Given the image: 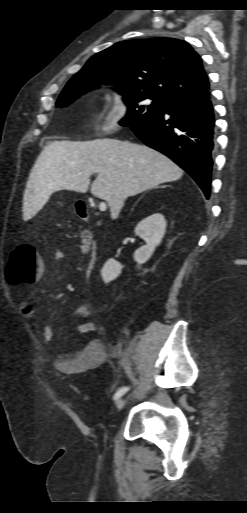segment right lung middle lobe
<instances>
[{"mask_svg": "<svg viewBox=\"0 0 247 513\" xmlns=\"http://www.w3.org/2000/svg\"><path fill=\"white\" fill-rule=\"evenodd\" d=\"M99 83L101 82H80L71 79L61 92L56 105L58 107L68 105L81 94L93 88H97ZM118 89L120 92L126 93L123 99L128 107L126 117H124L120 122V125L122 126L131 127L147 121L157 114L165 104L161 99L136 93L127 87L125 89L124 87L119 86ZM147 99L153 100L152 103L146 104L145 101Z\"/></svg>", "mask_w": 247, "mask_h": 513, "instance_id": "obj_1", "label": "right lung middle lobe"}]
</instances>
